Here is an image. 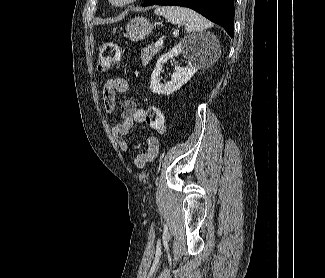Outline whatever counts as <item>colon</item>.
Returning <instances> with one entry per match:
<instances>
[{
  "label": "colon",
  "mask_w": 325,
  "mask_h": 278,
  "mask_svg": "<svg viewBox=\"0 0 325 278\" xmlns=\"http://www.w3.org/2000/svg\"><path fill=\"white\" fill-rule=\"evenodd\" d=\"M122 60V50L115 43H105L101 46L97 60V69L100 72L107 71L113 65ZM145 122L154 129H163L165 125V116L161 108L151 106L146 111Z\"/></svg>",
  "instance_id": "1"
}]
</instances>
